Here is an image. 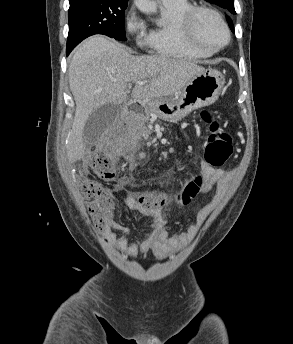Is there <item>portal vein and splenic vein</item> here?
Listing matches in <instances>:
<instances>
[{"label": "portal vein and splenic vein", "instance_id": "portal-vein-and-splenic-vein-1", "mask_svg": "<svg viewBox=\"0 0 293 344\" xmlns=\"http://www.w3.org/2000/svg\"><path fill=\"white\" fill-rule=\"evenodd\" d=\"M146 83H147L146 81H139V82H137V84H139V85H144Z\"/></svg>", "mask_w": 293, "mask_h": 344}]
</instances>
